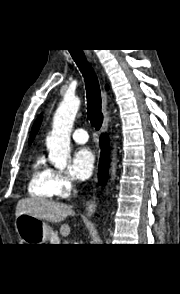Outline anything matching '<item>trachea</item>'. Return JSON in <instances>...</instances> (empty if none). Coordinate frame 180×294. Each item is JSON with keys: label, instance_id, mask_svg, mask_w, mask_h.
Instances as JSON below:
<instances>
[{"label": "trachea", "instance_id": "3493384b", "mask_svg": "<svg viewBox=\"0 0 180 294\" xmlns=\"http://www.w3.org/2000/svg\"><path fill=\"white\" fill-rule=\"evenodd\" d=\"M69 52L84 77L88 119L96 130H99L103 123V115L101 112V93L97 76L91 65L87 62L82 50H69Z\"/></svg>", "mask_w": 180, "mask_h": 294}]
</instances>
